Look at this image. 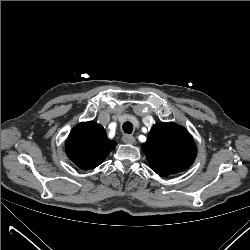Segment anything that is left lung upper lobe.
Returning <instances> with one entry per match:
<instances>
[{"label": "left lung upper lobe", "mask_w": 250, "mask_h": 250, "mask_svg": "<svg viewBox=\"0 0 250 250\" xmlns=\"http://www.w3.org/2000/svg\"><path fill=\"white\" fill-rule=\"evenodd\" d=\"M151 169L160 176L180 173L189 168L197 148L189 132L176 123L155 124L142 144Z\"/></svg>", "instance_id": "left-lung-upper-lobe-1"}]
</instances>
